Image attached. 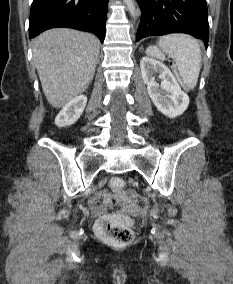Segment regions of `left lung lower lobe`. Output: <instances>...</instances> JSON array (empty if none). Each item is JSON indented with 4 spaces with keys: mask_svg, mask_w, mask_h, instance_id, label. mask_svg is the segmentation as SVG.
Returning <instances> with one entry per match:
<instances>
[{
    "mask_svg": "<svg viewBox=\"0 0 233 284\" xmlns=\"http://www.w3.org/2000/svg\"><path fill=\"white\" fill-rule=\"evenodd\" d=\"M141 21L136 41L168 33H187L205 42L209 25L206 0H137Z\"/></svg>",
    "mask_w": 233,
    "mask_h": 284,
    "instance_id": "left-lung-lower-lobe-1",
    "label": "left lung lower lobe"
}]
</instances>
